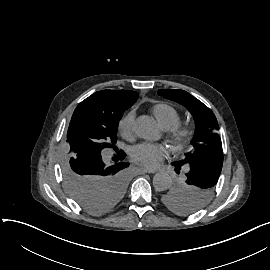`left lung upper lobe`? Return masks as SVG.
Segmentation results:
<instances>
[{"instance_id": "obj_1", "label": "left lung upper lobe", "mask_w": 270, "mask_h": 270, "mask_svg": "<svg viewBox=\"0 0 270 270\" xmlns=\"http://www.w3.org/2000/svg\"><path fill=\"white\" fill-rule=\"evenodd\" d=\"M158 95L185 106L194 116L196 129L193 149L185 159L173 162L176 173L186 166L185 177L161 194L163 204L170 210L191 215L203 208L211 198L222 170L223 152L219 129L213 112L184 90H158Z\"/></svg>"}]
</instances>
